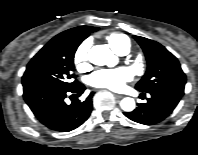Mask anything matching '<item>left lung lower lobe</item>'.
Masks as SVG:
<instances>
[{
  "mask_svg": "<svg viewBox=\"0 0 198 155\" xmlns=\"http://www.w3.org/2000/svg\"><path fill=\"white\" fill-rule=\"evenodd\" d=\"M149 94L150 98L147 99V103L139 104L134 111L124 112V115L137 123L157 124L172 113L184 91L174 88H161Z\"/></svg>",
  "mask_w": 198,
  "mask_h": 155,
  "instance_id": "0a47b994",
  "label": "left lung lower lobe"
}]
</instances>
